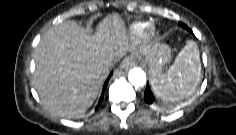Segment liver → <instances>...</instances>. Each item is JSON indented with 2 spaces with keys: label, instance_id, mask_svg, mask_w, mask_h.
Returning a JSON list of instances; mask_svg holds the SVG:
<instances>
[{
  "label": "liver",
  "instance_id": "6515ba94",
  "mask_svg": "<svg viewBox=\"0 0 236 135\" xmlns=\"http://www.w3.org/2000/svg\"><path fill=\"white\" fill-rule=\"evenodd\" d=\"M129 44L118 14L107 16L95 35L73 21L49 29L34 52L33 85L44 107L61 117L84 113L109 73L106 62Z\"/></svg>",
  "mask_w": 236,
  "mask_h": 135
}]
</instances>
